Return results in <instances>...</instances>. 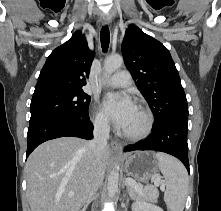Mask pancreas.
I'll return each instance as SVG.
<instances>
[{"label":"pancreas","mask_w":221,"mask_h":211,"mask_svg":"<svg viewBox=\"0 0 221 211\" xmlns=\"http://www.w3.org/2000/svg\"><path fill=\"white\" fill-rule=\"evenodd\" d=\"M137 184L140 185L139 183H137ZM128 189H129V194H130L131 198H133V199H141L142 198V194L139 191H137L135 188L130 186Z\"/></svg>","instance_id":"1"}]
</instances>
